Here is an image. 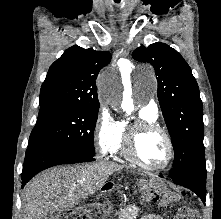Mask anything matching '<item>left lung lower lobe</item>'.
<instances>
[{
    "mask_svg": "<svg viewBox=\"0 0 221 219\" xmlns=\"http://www.w3.org/2000/svg\"><path fill=\"white\" fill-rule=\"evenodd\" d=\"M206 175V168H204L188 172L176 178H172V180L174 183L192 190L204 202L206 194ZM160 177L163 176L160 175Z\"/></svg>",
    "mask_w": 221,
    "mask_h": 219,
    "instance_id": "1",
    "label": "left lung lower lobe"
}]
</instances>
